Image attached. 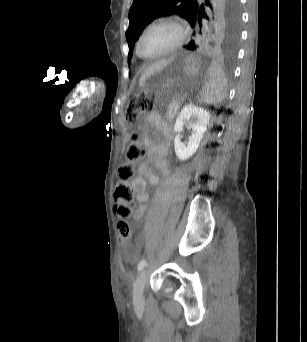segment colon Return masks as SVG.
I'll return each mask as SVG.
<instances>
[{"label":"colon","mask_w":307,"mask_h":342,"mask_svg":"<svg viewBox=\"0 0 307 342\" xmlns=\"http://www.w3.org/2000/svg\"><path fill=\"white\" fill-rule=\"evenodd\" d=\"M149 109V103L144 100H132L127 107L125 119L127 123H135L141 114ZM138 135L132 136V142L126 147L123 156L126 160L117 170V182L114 190L116 200V213L120 220L117 224L119 239L123 245L130 243L132 227L129 218L133 212L132 198L133 191L129 181L135 175L134 164L142 161L145 156V149L139 143Z\"/></svg>","instance_id":"5ec220e1"}]
</instances>
